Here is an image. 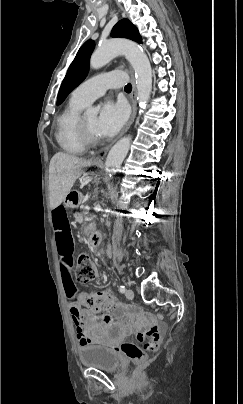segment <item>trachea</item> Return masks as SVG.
Segmentation results:
<instances>
[{"label": "trachea", "instance_id": "obj_1", "mask_svg": "<svg viewBox=\"0 0 243 404\" xmlns=\"http://www.w3.org/2000/svg\"><path fill=\"white\" fill-rule=\"evenodd\" d=\"M124 90L131 91L132 90V85L130 83H128L127 85H125Z\"/></svg>", "mask_w": 243, "mask_h": 404}]
</instances>
